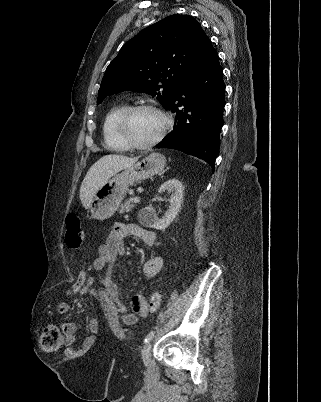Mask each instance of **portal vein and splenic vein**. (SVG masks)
<instances>
[{
  "label": "portal vein and splenic vein",
  "mask_w": 321,
  "mask_h": 402,
  "mask_svg": "<svg viewBox=\"0 0 321 402\" xmlns=\"http://www.w3.org/2000/svg\"><path fill=\"white\" fill-rule=\"evenodd\" d=\"M133 200H134V202L138 203L140 201V198L136 196V197H134Z\"/></svg>",
  "instance_id": "obj_1"
}]
</instances>
